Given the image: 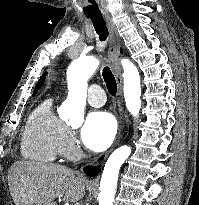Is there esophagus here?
Masks as SVG:
<instances>
[{"mask_svg":"<svg viewBox=\"0 0 199 205\" xmlns=\"http://www.w3.org/2000/svg\"><path fill=\"white\" fill-rule=\"evenodd\" d=\"M106 23L110 30V41H109V49H108V60L112 67V70L115 74L116 83H117V96L119 99H121L122 96V76H121V69L120 64L118 61V55H119V49H118V43H119V36L117 32V28L115 24L113 23L112 19L110 17L106 18ZM120 119H121V127L118 134V138L116 139L114 145L107 150L106 152L100 154L97 156L93 161L90 162V164L93 165H101L104 163L110 152L122 141L124 138V133L129 128V121L128 118L123 114L122 108L120 107ZM123 121L125 122V127L123 125Z\"/></svg>","mask_w":199,"mask_h":205,"instance_id":"34e87169","label":"esophagus"}]
</instances>
